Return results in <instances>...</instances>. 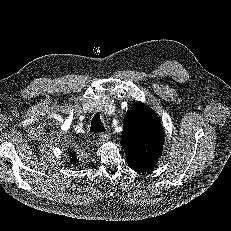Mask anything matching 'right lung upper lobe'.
<instances>
[{
	"instance_id": "obj_1",
	"label": "right lung upper lobe",
	"mask_w": 231,
	"mask_h": 231,
	"mask_svg": "<svg viewBox=\"0 0 231 231\" xmlns=\"http://www.w3.org/2000/svg\"><path fill=\"white\" fill-rule=\"evenodd\" d=\"M70 156H71V157H74L75 155L73 156V155L70 153ZM71 161H72L74 164L77 162L75 158L71 159Z\"/></svg>"
}]
</instances>
